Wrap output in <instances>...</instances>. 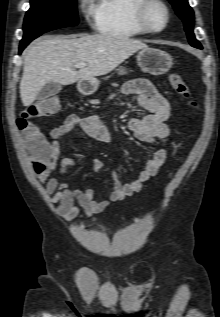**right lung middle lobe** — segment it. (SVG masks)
Segmentation results:
<instances>
[{
	"label": "right lung middle lobe",
	"mask_w": 220,
	"mask_h": 317,
	"mask_svg": "<svg viewBox=\"0 0 220 317\" xmlns=\"http://www.w3.org/2000/svg\"><path fill=\"white\" fill-rule=\"evenodd\" d=\"M30 4L21 42L33 40L51 30L78 24L76 0H31Z\"/></svg>",
	"instance_id": "dd1d6c3e"
}]
</instances>
